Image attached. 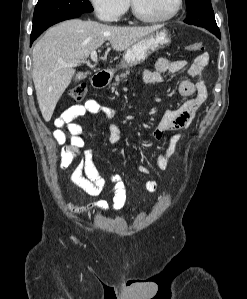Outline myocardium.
Segmentation results:
<instances>
[{"mask_svg": "<svg viewBox=\"0 0 247 299\" xmlns=\"http://www.w3.org/2000/svg\"><path fill=\"white\" fill-rule=\"evenodd\" d=\"M182 4H183V0H175L174 7L168 14L160 17H150V16H146L139 10L135 0H130V6L133 15L137 19L147 23H162L171 20L178 14V12L182 7Z\"/></svg>", "mask_w": 247, "mask_h": 299, "instance_id": "f54148a6", "label": "myocardium"}]
</instances>
